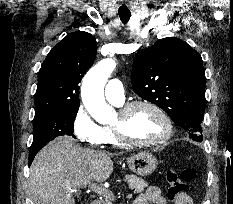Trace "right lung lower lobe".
<instances>
[{"label": "right lung lower lobe", "instance_id": "obj_1", "mask_svg": "<svg viewBox=\"0 0 233 204\" xmlns=\"http://www.w3.org/2000/svg\"><path fill=\"white\" fill-rule=\"evenodd\" d=\"M42 147H38V148H30V152H29V165H31L35 155L38 153V151L41 149Z\"/></svg>", "mask_w": 233, "mask_h": 204}]
</instances>
